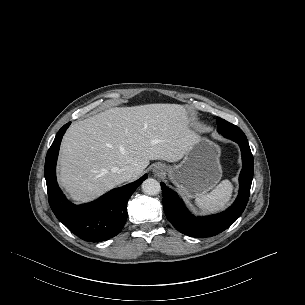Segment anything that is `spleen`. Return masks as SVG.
Returning <instances> with one entry per match:
<instances>
[{
  "label": "spleen",
  "instance_id": "obj_1",
  "mask_svg": "<svg viewBox=\"0 0 305 305\" xmlns=\"http://www.w3.org/2000/svg\"><path fill=\"white\" fill-rule=\"evenodd\" d=\"M233 186L229 180H223L211 192L201 193L195 199L196 206L204 213L222 210L230 201Z\"/></svg>",
  "mask_w": 305,
  "mask_h": 305
}]
</instances>
